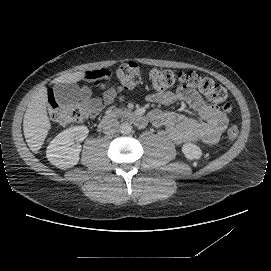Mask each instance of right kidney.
<instances>
[{
  "label": "right kidney",
  "mask_w": 271,
  "mask_h": 271,
  "mask_svg": "<svg viewBox=\"0 0 271 271\" xmlns=\"http://www.w3.org/2000/svg\"><path fill=\"white\" fill-rule=\"evenodd\" d=\"M86 126H75L59 133L49 144L46 156L58 168L73 167L79 161L80 144L88 135Z\"/></svg>",
  "instance_id": "obj_1"
}]
</instances>
